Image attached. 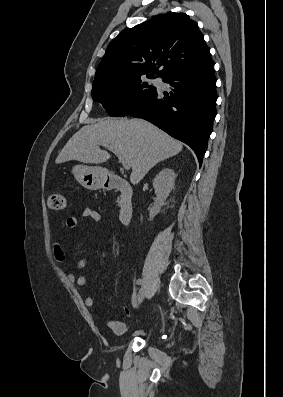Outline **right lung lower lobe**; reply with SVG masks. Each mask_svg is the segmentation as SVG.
Instances as JSON below:
<instances>
[{"label":"right lung lower lobe","mask_w":283,"mask_h":397,"mask_svg":"<svg viewBox=\"0 0 283 397\" xmlns=\"http://www.w3.org/2000/svg\"><path fill=\"white\" fill-rule=\"evenodd\" d=\"M163 81L172 87L169 96L156 92L128 115L145 119L189 145L201 166L217 114L214 63L209 59L179 69Z\"/></svg>","instance_id":"right-lung-lower-lobe-1"}]
</instances>
